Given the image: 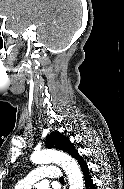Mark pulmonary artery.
Instances as JSON below:
<instances>
[{
    "label": "pulmonary artery",
    "mask_w": 124,
    "mask_h": 189,
    "mask_svg": "<svg viewBox=\"0 0 124 189\" xmlns=\"http://www.w3.org/2000/svg\"><path fill=\"white\" fill-rule=\"evenodd\" d=\"M61 176V171L56 166H46L37 168L32 171L27 177L20 180L16 188L17 189H30L33 184L44 178H50L52 180H58Z\"/></svg>",
    "instance_id": "obj_1"
}]
</instances>
